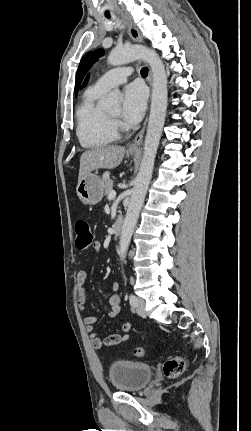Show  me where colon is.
<instances>
[{
    "label": "colon",
    "mask_w": 251,
    "mask_h": 431,
    "mask_svg": "<svg viewBox=\"0 0 251 431\" xmlns=\"http://www.w3.org/2000/svg\"><path fill=\"white\" fill-rule=\"evenodd\" d=\"M76 247L80 251L89 249L94 243L92 229L85 220H78L75 224ZM145 354L144 347H137L133 351L135 357H143ZM185 369V361L180 356L167 359L163 364V373L168 378H178Z\"/></svg>",
    "instance_id": "obj_1"
}]
</instances>
